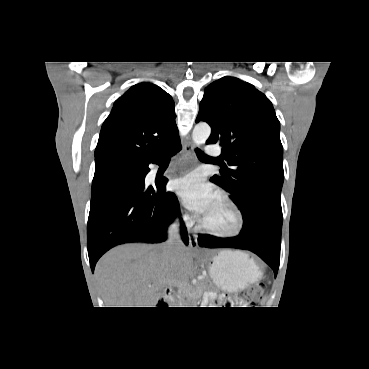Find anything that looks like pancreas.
Segmentation results:
<instances>
[{
  "mask_svg": "<svg viewBox=\"0 0 369 369\" xmlns=\"http://www.w3.org/2000/svg\"><path fill=\"white\" fill-rule=\"evenodd\" d=\"M203 289L201 286H198L196 291H194L193 293L187 295V297L193 298L195 300L199 299L202 295ZM189 302V301H188Z\"/></svg>",
  "mask_w": 369,
  "mask_h": 369,
  "instance_id": "cf45deb5",
  "label": "pancreas"
}]
</instances>
